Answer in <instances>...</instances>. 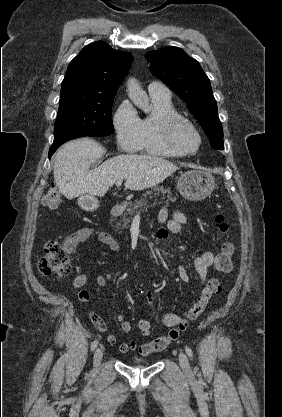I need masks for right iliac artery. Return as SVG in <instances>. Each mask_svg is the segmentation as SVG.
<instances>
[{"label": "right iliac artery", "mask_w": 282, "mask_h": 417, "mask_svg": "<svg viewBox=\"0 0 282 417\" xmlns=\"http://www.w3.org/2000/svg\"><path fill=\"white\" fill-rule=\"evenodd\" d=\"M97 345H98V340H95L94 342H92V344H91V350L92 351L95 350V348L97 347Z\"/></svg>", "instance_id": "1"}]
</instances>
